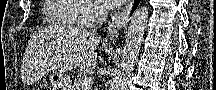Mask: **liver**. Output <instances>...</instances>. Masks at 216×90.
<instances>
[{
    "label": "liver",
    "instance_id": "1",
    "mask_svg": "<svg viewBox=\"0 0 216 90\" xmlns=\"http://www.w3.org/2000/svg\"><path fill=\"white\" fill-rule=\"evenodd\" d=\"M99 42L96 32L74 28L69 24L63 40V70H86L95 66L98 56L94 50L99 46Z\"/></svg>",
    "mask_w": 216,
    "mask_h": 90
}]
</instances>
